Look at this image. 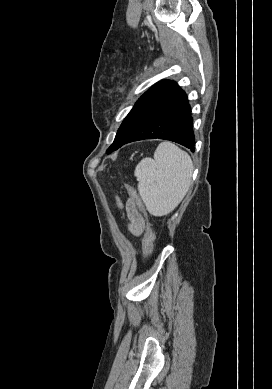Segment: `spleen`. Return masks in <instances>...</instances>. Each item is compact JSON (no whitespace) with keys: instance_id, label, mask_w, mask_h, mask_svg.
Here are the masks:
<instances>
[{"instance_id":"1","label":"spleen","mask_w":272,"mask_h":389,"mask_svg":"<svg viewBox=\"0 0 272 389\" xmlns=\"http://www.w3.org/2000/svg\"><path fill=\"white\" fill-rule=\"evenodd\" d=\"M192 172L190 156L170 142L158 145L154 159H142L134 175L149 213L164 216L172 212L186 195Z\"/></svg>"}]
</instances>
